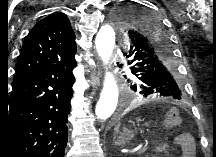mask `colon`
Segmentation results:
<instances>
[{
  "mask_svg": "<svg viewBox=\"0 0 216 157\" xmlns=\"http://www.w3.org/2000/svg\"><path fill=\"white\" fill-rule=\"evenodd\" d=\"M164 123L167 129L172 130L182 124V116L178 110L171 109L168 111Z\"/></svg>",
  "mask_w": 216,
  "mask_h": 157,
  "instance_id": "colon-1",
  "label": "colon"
}]
</instances>
